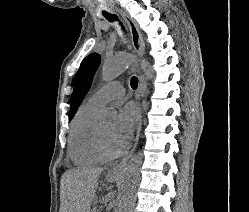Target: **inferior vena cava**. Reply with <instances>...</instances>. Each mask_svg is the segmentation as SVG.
Returning a JSON list of instances; mask_svg holds the SVG:
<instances>
[{"label": "inferior vena cava", "instance_id": "602c4592", "mask_svg": "<svg viewBox=\"0 0 249 212\" xmlns=\"http://www.w3.org/2000/svg\"><path fill=\"white\" fill-rule=\"evenodd\" d=\"M124 178H127V176H123V180H124Z\"/></svg>", "mask_w": 249, "mask_h": 212}]
</instances>
